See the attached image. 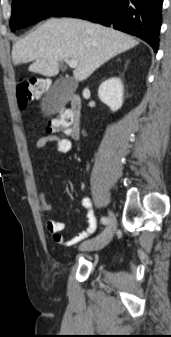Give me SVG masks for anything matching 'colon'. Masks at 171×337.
<instances>
[{"label": "colon", "instance_id": "5ec220e1", "mask_svg": "<svg viewBox=\"0 0 171 337\" xmlns=\"http://www.w3.org/2000/svg\"><path fill=\"white\" fill-rule=\"evenodd\" d=\"M49 88V82L36 77L21 78L16 84V96L20 109L25 110L37 95L43 94ZM49 134L67 133L70 130V121L65 112L54 117L47 124Z\"/></svg>", "mask_w": 171, "mask_h": 337}]
</instances>
